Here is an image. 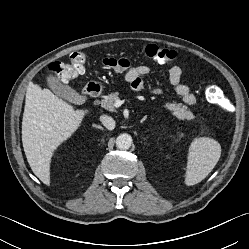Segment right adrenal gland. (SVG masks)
<instances>
[{
    "instance_id": "right-adrenal-gland-1",
    "label": "right adrenal gland",
    "mask_w": 249,
    "mask_h": 249,
    "mask_svg": "<svg viewBox=\"0 0 249 249\" xmlns=\"http://www.w3.org/2000/svg\"><path fill=\"white\" fill-rule=\"evenodd\" d=\"M94 127H96L97 129L103 130V128L101 126L94 125Z\"/></svg>"
}]
</instances>
